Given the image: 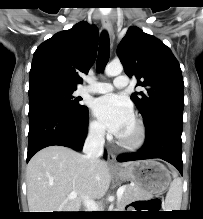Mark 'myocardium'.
Wrapping results in <instances>:
<instances>
[{
	"instance_id": "obj_1",
	"label": "myocardium",
	"mask_w": 203,
	"mask_h": 219,
	"mask_svg": "<svg viewBox=\"0 0 203 219\" xmlns=\"http://www.w3.org/2000/svg\"><path fill=\"white\" fill-rule=\"evenodd\" d=\"M133 122L136 127V135L133 139L126 140L119 136L116 137V142L120 147L131 151L140 149L146 140V128L143 121L139 117L134 116Z\"/></svg>"
}]
</instances>
